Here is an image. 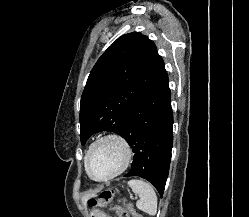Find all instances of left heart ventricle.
I'll return each instance as SVG.
<instances>
[{
    "instance_id": "obj_1",
    "label": "left heart ventricle",
    "mask_w": 249,
    "mask_h": 217,
    "mask_svg": "<svg viewBox=\"0 0 249 217\" xmlns=\"http://www.w3.org/2000/svg\"><path fill=\"white\" fill-rule=\"evenodd\" d=\"M123 156L124 152L116 142L107 141L99 144L89 159L92 175L102 178L111 174L121 165Z\"/></svg>"
}]
</instances>
